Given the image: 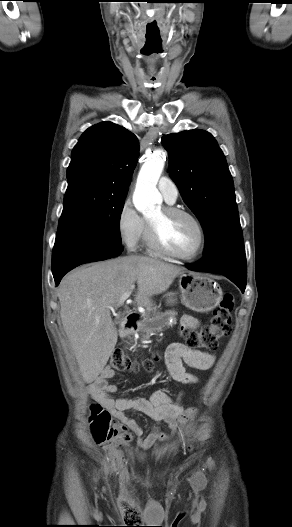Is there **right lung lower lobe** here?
I'll list each match as a JSON object with an SVG mask.
<instances>
[{
	"label": "right lung lower lobe",
	"mask_w": 292,
	"mask_h": 527,
	"mask_svg": "<svg viewBox=\"0 0 292 527\" xmlns=\"http://www.w3.org/2000/svg\"><path fill=\"white\" fill-rule=\"evenodd\" d=\"M120 244L105 237L82 234H57L52 253V273L56 285L73 268L89 262L106 260L121 254Z\"/></svg>",
	"instance_id": "obj_1"
}]
</instances>
